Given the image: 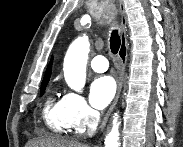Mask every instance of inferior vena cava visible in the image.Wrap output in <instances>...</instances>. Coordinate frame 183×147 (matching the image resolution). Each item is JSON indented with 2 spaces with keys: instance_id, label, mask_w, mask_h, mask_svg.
Returning <instances> with one entry per match:
<instances>
[{
  "instance_id": "inferior-vena-cava-1",
  "label": "inferior vena cava",
  "mask_w": 183,
  "mask_h": 147,
  "mask_svg": "<svg viewBox=\"0 0 183 147\" xmlns=\"http://www.w3.org/2000/svg\"><path fill=\"white\" fill-rule=\"evenodd\" d=\"M99 117H100L99 112L98 111H94L93 118L90 121V124L88 126V131H87V133H88V135L90 137H92L95 134V132H96V128H97V125H98Z\"/></svg>"
}]
</instances>
